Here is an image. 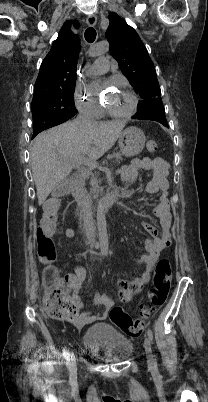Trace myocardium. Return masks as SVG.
<instances>
[{
  "instance_id": "1",
  "label": "myocardium",
  "mask_w": 208,
  "mask_h": 402,
  "mask_svg": "<svg viewBox=\"0 0 208 402\" xmlns=\"http://www.w3.org/2000/svg\"><path fill=\"white\" fill-rule=\"evenodd\" d=\"M123 91L128 93L132 98V106L127 111H117L109 105V103L107 102L106 99H101L103 108L108 113H110L112 116H114L116 118H129V117L133 116L139 108L140 100H139V97L137 96V94L134 91H132L131 89L126 88V87L124 88Z\"/></svg>"
}]
</instances>
